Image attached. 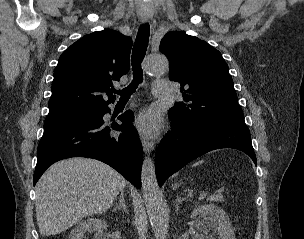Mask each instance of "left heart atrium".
<instances>
[{
	"instance_id": "left-heart-atrium-1",
	"label": "left heart atrium",
	"mask_w": 304,
	"mask_h": 239,
	"mask_svg": "<svg viewBox=\"0 0 304 239\" xmlns=\"http://www.w3.org/2000/svg\"><path fill=\"white\" fill-rule=\"evenodd\" d=\"M133 125L142 135L152 137L158 134L161 130L162 119L157 111L153 109H145L138 114Z\"/></svg>"
}]
</instances>
